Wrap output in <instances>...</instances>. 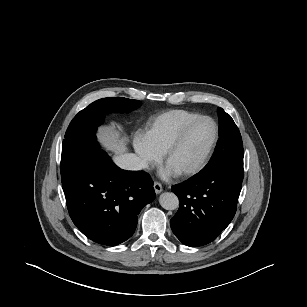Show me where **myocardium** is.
<instances>
[{
    "label": "myocardium",
    "instance_id": "f54148a6",
    "mask_svg": "<svg viewBox=\"0 0 307 307\" xmlns=\"http://www.w3.org/2000/svg\"><path fill=\"white\" fill-rule=\"evenodd\" d=\"M204 120L211 122L214 127V136H213L212 142L210 146L208 147L202 160L193 168L178 172L177 175L179 177H182V178L192 177L198 174L199 172H201L206 167V165L208 164L217 146L218 140H219V126L217 122L212 117L206 116V115H201L197 118L190 120L178 131V133L175 135V137L172 139V141L169 143V145L167 146V148L165 149L163 153V161L165 164H167L169 157L176 150V148L180 145V143L185 138V136L190 131V129L197 123L204 121Z\"/></svg>",
    "mask_w": 307,
    "mask_h": 307
}]
</instances>
